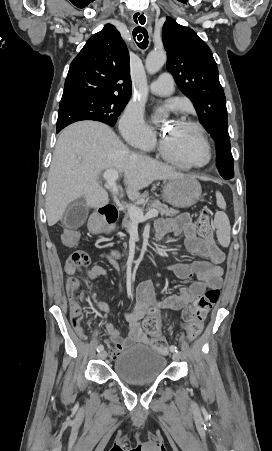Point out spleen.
Segmentation results:
<instances>
[{"instance_id": "obj_1", "label": "spleen", "mask_w": 272, "mask_h": 451, "mask_svg": "<svg viewBox=\"0 0 272 451\" xmlns=\"http://www.w3.org/2000/svg\"><path fill=\"white\" fill-rule=\"evenodd\" d=\"M216 202L218 208H221V210H226V202L220 192H216ZM214 227L216 229V235L219 243H221L223 247H228L231 237V226L228 220V216H226L225 212H216L214 218Z\"/></svg>"}]
</instances>
